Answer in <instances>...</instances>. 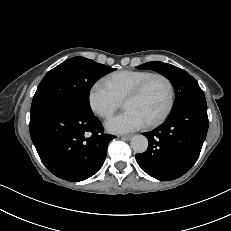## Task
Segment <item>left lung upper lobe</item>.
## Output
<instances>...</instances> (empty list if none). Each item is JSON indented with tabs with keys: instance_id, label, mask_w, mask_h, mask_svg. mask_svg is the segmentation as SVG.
Wrapping results in <instances>:
<instances>
[{
	"instance_id": "obj_1",
	"label": "left lung upper lobe",
	"mask_w": 231,
	"mask_h": 231,
	"mask_svg": "<svg viewBox=\"0 0 231 231\" xmlns=\"http://www.w3.org/2000/svg\"><path fill=\"white\" fill-rule=\"evenodd\" d=\"M139 69L154 70L170 80L175 90L173 109L188 95L203 92L197 81L186 71L168 63L152 61L137 66Z\"/></svg>"
}]
</instances>
